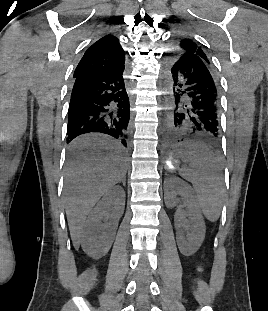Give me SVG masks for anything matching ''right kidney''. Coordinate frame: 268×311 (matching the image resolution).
Returning a JSON list of instances; mask_svg holds the SVG:
<instances>
[{
	"label": "right kidney",
	"instance_id": "obj_1",
	"mask_svg": "<svg viewBox=\"0 0 268 311\" xmlns=\"http://www.w3.org/2000/svg\"><path fill=\"white\" fill-rule=\"evenodd\" d=\"M125 208V192L120 186L109 189L90 213L81 235L84 252L101 258L109 251ZM104 221V223L102 222Z\"/></svg>",
	"mask_w": 268,
	"mask_h": 311
}]
</instances>
